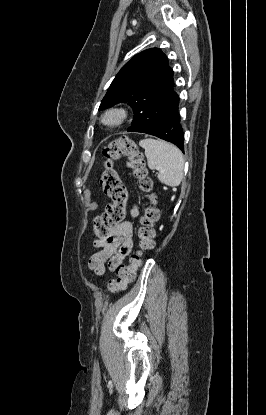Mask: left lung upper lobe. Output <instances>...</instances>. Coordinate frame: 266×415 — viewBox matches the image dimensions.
I'll list each match as a JSON object with an SVG mask.
<instances>
[{"mask_svg": "<svg viewBox=\"0 0 266 415\" xmlns=\"http://www.w3.org/2000/svg\"><path fill=\"white\" fill-rule=\"evenodd\" d=\"M178 101L166 55L151 48L136 54L121 68L99 110L128 102L135 115L127 131L145 132L161 122Z\"/></svg>", "mask_w": 266, "mask_h": 415, "instance_id": "left-lung-upper-lobe-1", "label": "left lung upper lobe"}]
</instances>
